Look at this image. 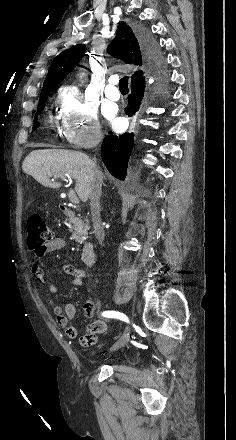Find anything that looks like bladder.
Masks as SVG:
<instances>
[{
	"label": "bladder",
	"instance_id": "obj_1",
	"mask_svg": "<svg viewBox=\"0 0 236 440\" xmlns=\"http://www.w3.org/2000/svg\"><path fill=\"white\" fill-rule=\"evenodd\" d=\"M101 360H102L103 362H110V361H113V360H114V356L112 355V353L108 352V353H106V354L102 357Z\"/></svg>",
	"mask_w": 236,
	"mask_h": 440
}]
</instances>
